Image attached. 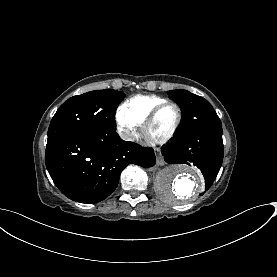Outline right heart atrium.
Segmentation results:
<instances>
[{
    "mask_svg": "<svg viewBox=\"0 0 277 277\" xmlns=\"http://www.w3.org/2000/svg\"><path fill=\"white\" fill-rule=\"evenodd\" d=\"M118 124H119V129L125 138H130L133 135L135 127L137 125L132 120H129L120 116L118 119Z\"/></svg>",
    "mask_w": 277,
    "mask_h": 277,
    "instance_id": "obj_1",
    "label": "right heart atrium"
}]
</instances>
